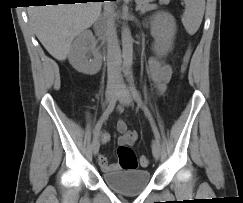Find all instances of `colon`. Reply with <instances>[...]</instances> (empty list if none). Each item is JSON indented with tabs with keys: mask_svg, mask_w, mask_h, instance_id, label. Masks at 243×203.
<instances>
[{
	"mask_svg": "<svg viewBox=\"0 0 243 203\" xmlns=\"http://www.w3.org/2000/svg\"><path fill=\"white\" fill-rule=\"evenodd\" d=\"M192 55L191 47H188L186 50L182 64H181V73L185 74L189 65V61ZM117 155L119 159V164L123 170H135L138 167V164L142 167H146L149 164V161L146 157H141L139 162L133 151V149L127 145H119L117 148Z\"/></svg>",
	"mask_w": 243,
	"mask_h": 203,
	"instance_id": "1",
	"label": "colon"
}]
</instances>
